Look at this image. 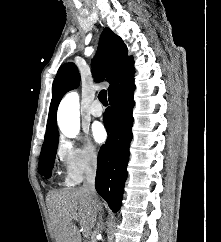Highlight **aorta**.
Masks as SVG:
<instances>
[{"mask_svg":"<svg viewBox=\"0 0 221 242\" xmlns=\"http://www.w3.org/2000/svg\"><path fill=\"white\" fill-rule=\"evenodd\" d=\"M79 96L76 92L68 93L58 108V125L67 137H75L80 129Z\"/></svg>","mask_w":221,"mask_h":242,"instance_id":"aorta-1","label":"aorta"}]
</instances>
